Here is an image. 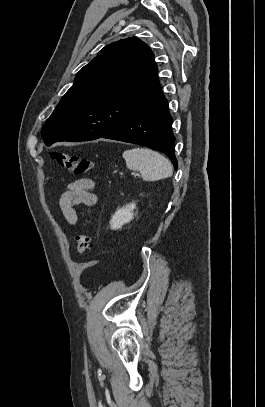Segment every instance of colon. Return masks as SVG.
Listing matches in <instances>:
<instances>
[{
    "mask_svg": "<svg viewBox=\"0 0 265 407\" xmlns=\"http://www.w3.org/2000/svg\"><path fill=\"white\" fill-rule=\"evenodd\" d=\"M52 159L61 167L80 175L93 170L94 164L87 158L79 157L63 151H53ZM76 252L79 256L85 254L91 247V236L87 230L77 236Z\"/></svg>",
    "mask_w": 265,
    "mask_h": 407,
    "instance_id": "5ec220e1",
    "label": "colon"
}]
</instances>
